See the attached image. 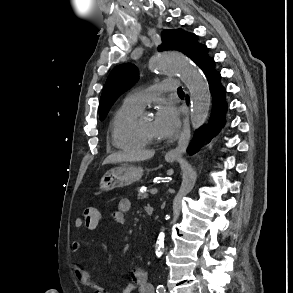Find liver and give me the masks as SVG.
I'll use <instances>...</instances> for the list:
<instances>
[{
    "mask_svg": "<svg viewBox=\"0 0 293 293\" xmlns=\"http://www.w3.org/2000/svg\"><path fill=\"white\" fill-rule=\"evenodd\" d=\"M154 151H139L131 154L123 152H117L109 155L103 162V164H114L119 162H133V161H144L154 156Z\"/></svg>",
    "mask_w": 293,
    "mask_h": 293,
    "instance_id": "1",
    "label": "liver"
}]
</instances>
